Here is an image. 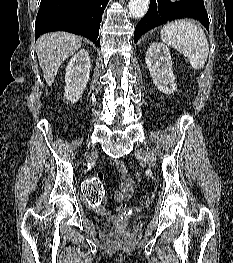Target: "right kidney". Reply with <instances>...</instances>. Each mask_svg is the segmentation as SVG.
<instances>
[{
  "mask_svg": "<svg viewBox=\"0 0 233 263\" xmlns=\"http://www.w3.org/2000/svg\"><path fill=\"white\" fill-rule=\"evenodd\" d=\"M90 57L86 49H81L72 56L65 74V93L64 96L72 104L77 102L89 81L90 77Z\"/></svg>",
  "mask_w": 233,
  "mask_h": 263,
  "instance_id": "1",
  "label": "right kidney"
}]
</instances>
